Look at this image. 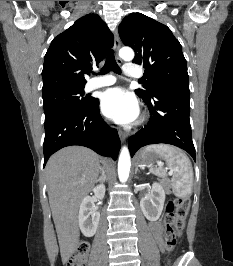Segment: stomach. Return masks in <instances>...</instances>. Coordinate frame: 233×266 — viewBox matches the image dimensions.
Returning a JSON list of instances; mask_svg holds the SVG:
<instances>
[{"label": "stomach", "instance_id": "1", "mask_svg": "<svg viewBox=\"0 0 233 266\" xmlns=\"http://www.w3.org/2000/svg\"><path fill=\"white\" fill-rule=\"evenodd\" d=\"M162 157L155 152L142 151L136 156L137 164L153 167L160 163Z\"/></svg>", "mask_w": 233, "mask_h": 266}]
</instances>
